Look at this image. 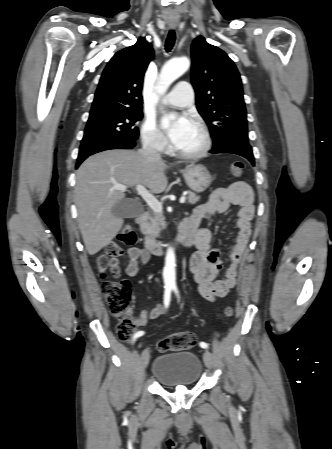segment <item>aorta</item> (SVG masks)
<instances>
[{
	"instance_id": "obj_1",
	"label": "aorta",
	"mask_w": 332,
	"mask_h": 449,
	"mask_svg": "<svg viewBox=\"0 0 332 449\" xmlns=\"http://www.w3.org/2000/svg\"><path fill=\"white\" fill-rule=\"evenodd\" d=\"M190 66V61L186 57L176 58L168 61L161 69L157 91L163 95L166 93L169 86L185 73ZM176 262L175 252L173 248L169 247L166 252L165 266L163 269L164 283L169 286H175L176 284Z\"/></svg>"
}]
</instances>
